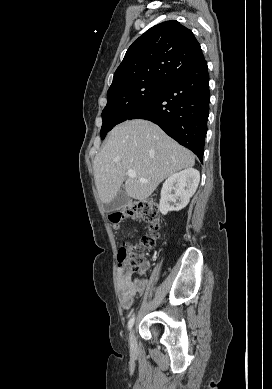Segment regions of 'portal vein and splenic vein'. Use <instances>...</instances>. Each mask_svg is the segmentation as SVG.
Instances as JSON below:
<instances>
[{
  "label": "portal vein and splenic vein",
  "mask_w": 272,
  "mask_h": 389,
  "mask_svg": "<svg viewBox=\"0 0 272 389\" xmlns=\"http://www.w3.org/2000/svg\"><path fill=\"white\" fill-rule=\"evenodd\" d=\"M127 175H128L129 178H135V177H136V173H135V171H133V170H128V171H127ZM140 182H142V183H147L148 180L141 178V179H140Z\"/></svg>",
  "instance_id": "1"
}]
</instances>
